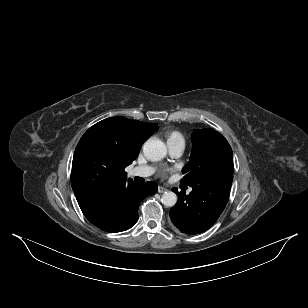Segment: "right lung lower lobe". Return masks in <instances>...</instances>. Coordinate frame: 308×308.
<instances>
[{
    "label": "right lung lower lobe",
    "instance_id": "obj_1",
    "mask_svg": "<svg viewBox=\"0 0 308 308\" xmlns=\"http://www.w3.org/2000/svg\"><path fill=\"white\" fill-rule=\"evenodd\" d=\"M157 192L154 182L130 183L112 197L82 208L84 216L96 227L110 233L128 230L138 220L140 202Z\"/></svg>",
    "mask_w": 308,
    "mask_h": 308
}]
</instances>
